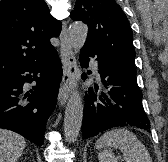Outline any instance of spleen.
<instances>
[{
  "instance_id": "3e777b00",
  "label": "spleen",
  "mask_w": 168,
  "mask_h": 162,
  "mask_svg": "<svg viewBox=\"0 0 168 162\" xmlns=\"http://www.w3.org/2000/svg\"><path fill=\"white\" fill-rule=\"evenodd\" d=\"M97 149L113 147L123 153L126 162H152L146 147L129 130L113 129L104 133L95 143ZM99 162H117L110 150H101L98 154Z\"/></svg>"
}]
</instances>
